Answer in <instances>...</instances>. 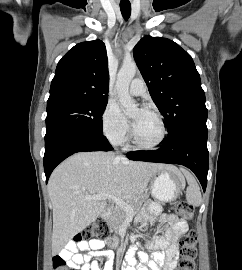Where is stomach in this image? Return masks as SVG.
<instances>
[{"label": "stomach", "instance_id": "1", "mask_svg": "<svg viewBox=\"0 0 242 270\" xmlns=\"http://www.w3.org/2000/svg\"><path fill=\"white\" fill-rule=\"evenodd\" d=\"M184 186L185 181L180 172L162 170L154 175L151 193L159 201H174L178 198Z\"/></svg>", "mask_w": 242, "mask_h": 270}]
</instances>
